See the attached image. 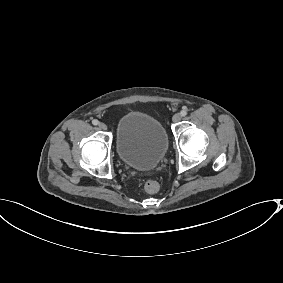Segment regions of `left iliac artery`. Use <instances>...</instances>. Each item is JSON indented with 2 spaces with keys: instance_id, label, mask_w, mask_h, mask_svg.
Masks as SVG:
<instances>
[{
  "instance_id": "obj_1",
  "label": "left iliac artery",
  "mask_w": 283,
  "mask_h": 283,
  "mask_svg": "<svg viewBox=\"0 0 283 283\" xmlns=\"http://www.w3.org/2000/svg\"><path fill=\"white\" fill-rule=\"evenodd\" d=\"M180 114H181V116H186V115H187V111H186V110H182V111L180 112Z\"/></svg>"
}]
</instances>
